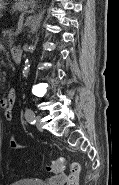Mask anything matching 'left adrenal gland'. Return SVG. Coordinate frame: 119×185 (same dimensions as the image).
<instances>
[{
	"instance_id": "1",
	"label": "left adrenal gland",
	"mask_w": 119,
	"mask_h": 185,
	"mask_svg": "<svg viewBox=\"0 0 119 185\" xmlns=\"http://www.w3.org/2000/svg\"><path fill=\"white\" fill-rule=\"evenodd\" d=\"M43 17V13L36 15L34 19L32 20L31 28L32 31H36L37 27L39 26V23Z\"/></svg>"
}]
</instances>
